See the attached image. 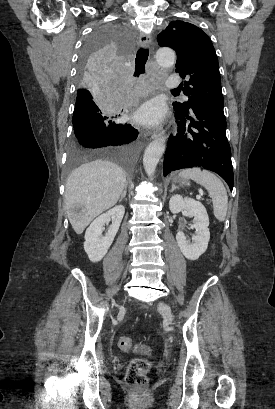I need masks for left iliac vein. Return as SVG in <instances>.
Segmentation results:
<instances>
[{"label":"left iliac vein","instance_id":"1","mask_svg":"<svg viewBox=\"0 0 275 409\" xmlns=\"http://www.w3.org/2000/svg\"><path fill=\"white\" fill-rule=\"evenodd\" d=\"M159 311L163 315L164 319L166 322L171 323L173 320L172 312H171V307L166 304L165 302L159 303L158 306Z\"/></svg>","mask_w":275,"mask_h":409}]
</instances>
